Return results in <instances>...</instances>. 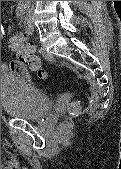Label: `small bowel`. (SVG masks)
I'll list each match as a JSON object with an SVG mask.
<instances>
[{"mask_svg": "<svg viewBox=\"0 0 121 169\" xmlns=\"http://www.w3.org/2000/svg\"><path fill=\"white\" fill-rule=\"evenodd\" d=\"M1 69L2 71L16 73L24 77L28 76V71L25 64L19 60L3 62L1 64Z\"/></svg>", "mask_w": 121, "mask_h": 169, "instance_id": "small-bowel-1", "label": "small bowel"}]
</instances>
